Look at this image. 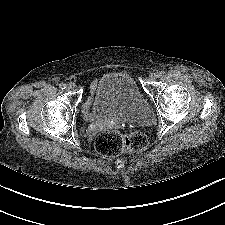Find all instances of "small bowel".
I'll return each instance as SVG.
<instances>
[{
	"label": "small bowel",
	"mask_w": 225,
	"mask_h": 225,
	"mask_svg": "<svg viewBox=\"0 0 225 225\" xmlns=\"http://www.w3.org/2000/svg\"><path fill=\"white\" fill-rule=\"evenodd\" d=\"M90 106H91V99H88L83 106V110L86 115L89 112Z\"/></svg>",
	"instance_id": "obj_1"
}]
</instances>
